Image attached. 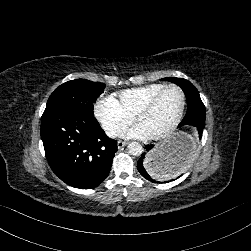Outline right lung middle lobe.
I'll return each instance as SVG.
<instances>
[{"instance_id":"dd1d6c3e","label":"right lung middle lobe","mask_w":251,"mask_h":251,"mask_svg":"<svg viewBox=\"0 0 251 251\" xmlns=\"http://www.w3.org/2000/svg\"><path fill=\"white\" fill-rule=\"evenodd\" d=\"M105 84L85 79L71 80L56 88L50 95L46 109L71 110L94 115L93 104L104 92Z\"/></svg>"}]
</instances>
